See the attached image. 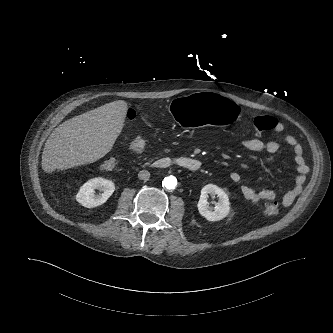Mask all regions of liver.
<instances>
[{"label":"liver","instance_id":"obj_1","mask_svg":"<svg viewBox=\"0 0 333 333\" xmlns=\"http://www.w3.org/2000/svg\"><path fill=\"white\" fill-rule=\"evenodd\" d=\"M126 113L127 103L117 100L63 122L45 143L42 169L51 173L103 158L121 133Z\"/></svg>","mask_w":333,"mask_h":333}]
</instances>
